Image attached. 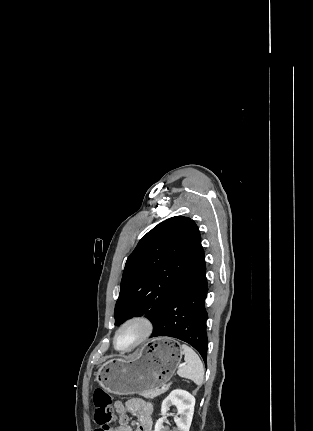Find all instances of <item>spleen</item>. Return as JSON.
I'll use <instances>...</instances> for the list:
<instances>
[{"instance_id": "obj_1", "label": "spleen", "mask_w": 313, "mask_h": 431, "mask_svg": "<svg viewBox=\"0 0 313 431\" xmlns=\"http://www.w3.org/2000/svg\"><path fill=\"white\" fill-rule=\"evenodd\" d=\"M185 357V365L178 369L177 374L182 378L192 380L196 385L201 386L204 380V367L196 352L187 346L181 345Z\"/></svg>"}]
</instances>
